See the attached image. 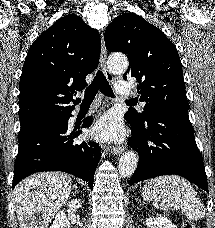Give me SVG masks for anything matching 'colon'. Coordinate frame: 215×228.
Masks as SVG:
<instances>
[{
  "label": "colon",
  "mask_w": 215,
  "mask_h": 228,
  "mask_svg": "<svg viewBox=\"0 0 215 228\" xmlns=\"http://www.w3.org/2000/svg\"><path fill=\"white\" fill-rule=\"evenodd\" d=\"M185 228H196V225L193 223H188Z\"/></svg>",
  "instance_id": "colon-1"
}]
</instances>
